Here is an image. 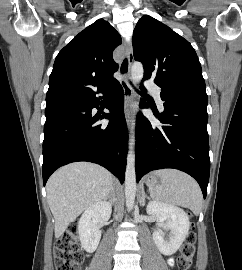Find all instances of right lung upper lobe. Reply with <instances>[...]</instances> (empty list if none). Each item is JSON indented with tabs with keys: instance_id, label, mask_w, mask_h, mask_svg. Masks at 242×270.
<instances>
[{
	"instance_id": "1",
	"label": "right lung upper lobe",
	"mask_w": 242,
	"mask_h": 270,
	"mask_svg": "<svg viewBox=\"0 0 242 270\" xmlns=\"http://www.w3.org/2000/svg\"><path fill=\"white\" fill-rule=\"evenodd\" d=\"M121 42L119 33L105 20H97L80 32L55 59L46 106L89 96L113 85L118 65L112 52Z\"/></svg>"
}]
</instances>
